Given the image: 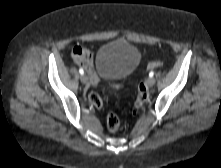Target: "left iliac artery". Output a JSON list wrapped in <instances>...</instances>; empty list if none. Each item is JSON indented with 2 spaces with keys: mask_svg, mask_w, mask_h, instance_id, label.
Instances as JSON below:
<instances>
[{
  "mask_svg": "<svg viewBox=\"0 0 221 168\" xmlns=\"http://www.w3.org/2000/svg\"><path fill=\"white\" fill-rule=\"evenodd\" d=\"M153 76H154V72L151 71V72L149 73V77H153Z\"/></svg>",
  "mask_w": 221,
  "mask_h": 168,
  "instance_id": "obj_1",
  "label": "left iliac artery"
}]
</instances>
